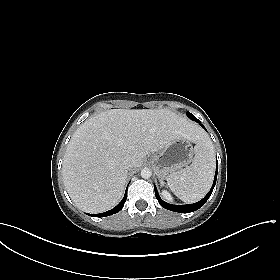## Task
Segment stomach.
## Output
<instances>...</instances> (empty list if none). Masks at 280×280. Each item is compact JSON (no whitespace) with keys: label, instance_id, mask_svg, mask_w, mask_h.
<instances>
[{"label":"stomach","instance_id":"obj_1","mask_svg":"<svg viewBox=\"0 0 280 280\" xmlns=\"http://www.w3.org/2000/svg\"><path fill=\"white\" fill-rule=\"evenodd\" d=\"M194 149L186 138H176L161 150L153 153L150 163L159 178L182 170L193 159Z\"/></svg>","mask_w":280,"mask_h":280}]
</instances>
